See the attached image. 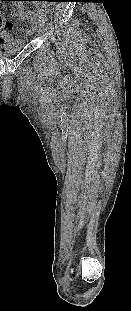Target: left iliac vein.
Wrapping results in <instances>:
<instances>
[{"label":"left iliac vein","mask_w":131,"mask_h":311,"mask_svg":"<svg viewBox=\"0 0 131 311\" xmlns=\"http://www.w3.org/2000/svg\"><path fill=\"white\" fill-rule=\"evenodd\" d=\"M45 31V27H44V25L41 23L40 24V27H39V33H42V32H44Z\"/></svg>","instance_id":"left-iliac-vein-1"}]
</instances>
